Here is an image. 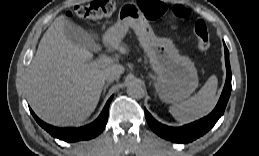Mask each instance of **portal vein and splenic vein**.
<instances>
[{
  "label": "portal vein and splenic vein",
  "mask_w": 259,
  "mask_h": 156,
  "mask_svg": "<svg viewBox=\"0 0 259 156\" xmlns=\"http://www.w3.org/2000/svg\"><path fill=\"white\" fill-rule=\"evenodd\" d=\"M111 64H113V59L105 55L101 56L98 60L89 63L90 66L97 68H103Z\"/></svg>",
  "instance_id": "portal-vein-and-splenic-vein-1"
}]
</instances>
